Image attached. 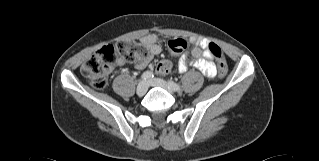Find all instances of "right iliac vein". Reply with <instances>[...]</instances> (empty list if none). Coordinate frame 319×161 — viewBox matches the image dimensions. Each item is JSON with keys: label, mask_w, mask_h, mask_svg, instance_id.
<instances>
[{"label": "right iliac vein", "mask_w": 319, "mask_h": 161, "mask_svg": "<svg viewBox=\"0 0 319 161\" xmlns=\"http://www.w3.org/2000/svg\"><path fill=\"white\" fill-rule=\"evenodd\" d=\"M148 84L145 81H141L137 86V95L142 96L147 92Z\"/></svg>", "instance_id": "63e3f726"}]
</instances>
